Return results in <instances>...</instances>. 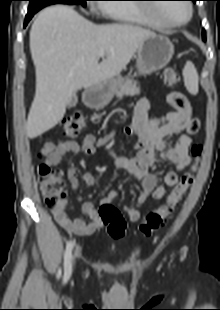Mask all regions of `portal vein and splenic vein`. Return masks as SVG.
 Masks as SVG:
<instances>
[{"label":"portal vein and splenic vein","instance_id":"obj_1","mask_svg":"<svg viewBox=\"0 0 220 310\" xmlns=\"http://www.w3.org/2000/svg\"><path fill=\"white\" fill-rule=\"evenodd\" d=\"M104 55H105L104 51L99 52V57H104Z\"/></svg>","mask_w":220,"mask_h":310}]
</instances>
